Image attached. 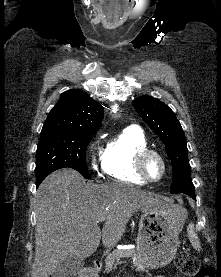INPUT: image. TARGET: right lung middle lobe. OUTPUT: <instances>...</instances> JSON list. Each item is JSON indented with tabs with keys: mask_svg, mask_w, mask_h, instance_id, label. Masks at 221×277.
<instances>
[{
	"mask_svg": "<svg viewBox=\"0 0 221 277\" xmlns=\"http://www.w3.org/2000/svg\"><path fill=\"white\" fill-rule=\"evenodd\" d=\"M97 132L94 131H41L36 152V181H42L60 168H73L89 179L86 148Z\"/></svg>",
	"mask_w": 221,
	"mask_h": 277,
	"instance_id": "dd1d6c3e",
	"label": "right lung middle lobe"
}]
</instances>
